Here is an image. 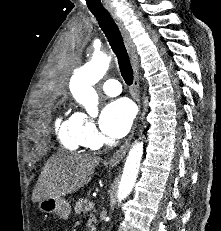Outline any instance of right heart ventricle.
I'll return each mask as SVG.
<instances>
[{
    "mask_svg": "<svg viewBox=\"0 0 221 231\" xmlns=\"http://www.w3.org/2000/svg\"><path fill=\"white\" fill-rule=\"evenodd\" d=\"M57 129L59 140L65 148L79 150L84 146L74 114L61 119L57 124Z\"/></svg>",
    "mask_w": 221,
    "mask_h": 231,
    "instance_id": "e07e8e85",
    "label": "right heart ventricle"
}]
</instances>
